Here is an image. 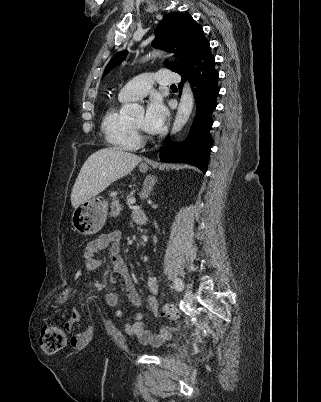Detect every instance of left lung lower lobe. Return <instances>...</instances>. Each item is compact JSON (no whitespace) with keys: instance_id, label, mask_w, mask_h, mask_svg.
I'll return each mask as SVG.
<instances>
[{"instance_id":"1","label":"left lung lower lobe","mask_w":321,"mask_h":402,"mask_svg":"<svg viewBox=\"0 0 321 402\" xmlns=\"http://www.w3.org/2000/svg\"><path fill=\"white\" fill-rule=\"evenodd\" d=\"M215 58L208 41L203 43L193 55L186 68L179 73L182 80L188 79L195 96L196 116L190 134L181 144H170L160 150L162 162H184L194 165L204 173L212 146L209 131L213 121L211 114L216 108L218 72L214 67ZM181 90L182 85H179Z\"/></svg>"}]
</instances>
